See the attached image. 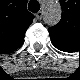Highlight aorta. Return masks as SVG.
Instances as JSON below:
<instances>
[{
    "mask_svg": "<svg viewBox=\"0 0 80 80\" xmlns=\"http://www.w3.org/2000/svg\"><path fill=\"white\" fill-rule=\"evenodd\" d=\"M61 12V7L58 4L46 7V12L44 14L45 23L48 25L57 24L61 19Z\"/></svg>",
    "mask_w": 80,
    "mask_h": 80,
    "instance_id": "762f6f07",
    "label": "aorta"
}]
</instances>
